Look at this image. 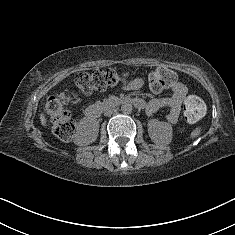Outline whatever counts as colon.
Instances as JSON below:
<instances>
[{
	"label": "colon",
	"instance_id": "1",
	"mask_svg": "<svg viewBox=\"0 0 235 235\" xmlns=\"http://www.w3.org/2000/svg\"><path fill=\"white\" fill-rule=\"evenodd\" d=\"M127 75L115 70L96 69L91 72H82L75 77V86L85 95L104 91L119 83L126 82ZM176 83V74L165 67H158L149 74V87L152 92L160 93ZM45 111L52 120V131L62 141H69L75 129V120L61 101L50 97L45 105ZM205 112L203 101L194 95L188 96L183 104V113L189 122H196Z\"/></svg>",
	"mask_w": 235,
	"mask_h": 235
}]
</instances>
